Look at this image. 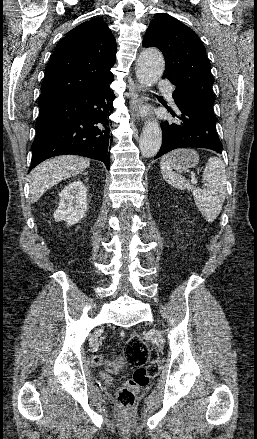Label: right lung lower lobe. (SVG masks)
Instances as JSON below:
<instances>
[{
	"instance_id": "right-lung-lower-lobe-1",
	"label": "right lung lower lobe",
	"mask_w": 257,
	"mask_h": 439,
	"mask_svg": "<svg viewBox=\"0 0 257 439\" xmlns=\"http://www.w3.org/2000/svg\"><path fill=\"white\" fill-rule=\"evenodd\" d=\"M113 80L39 106L29 172L42 161L64 154L100 160L110 169L112 122L108 117L115 96L109 85Z\"/></svg>"
}]
</instances>
